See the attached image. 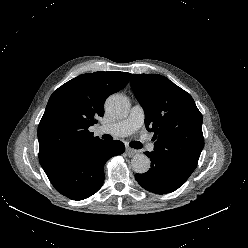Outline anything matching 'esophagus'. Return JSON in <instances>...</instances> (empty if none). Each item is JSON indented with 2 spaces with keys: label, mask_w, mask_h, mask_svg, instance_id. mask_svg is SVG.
Wrapping results in <instances>:
<instances>
[{
  "label": "esophagus",
  "mask_w": 248,
  "mask_h": 248,
  "mask_svg": "<svg viewBox=\"0 0 248 248\" xmlns=\"http://www.w3.org/2000/svg\"><path fill=\"white\" fill-rule=\"evenodd\" d=\"M126 152L131 157V156L136 155L138 153V150L130 148V147H127Z\"/></svg>",
  "instance_id": "1"
}]
</instances>
